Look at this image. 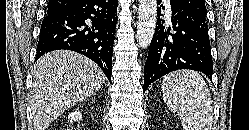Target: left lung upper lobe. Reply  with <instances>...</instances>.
Listing matches in <instances>:
<instances>
[{"label":"left lung upper lobe","mask_w":249,"mask_h":130,"mask_svg":"<svg viewBox=\"0 0 249 130\" xmlns=\"http://www.w3.org/2000/svg\"><path fill=\"white\" fill-rule=\"evenodd\" d=\"M188 10L206 17V7L204 0H176Z\"/></svg>","instance_id":"5c2ea615"}]
</instances>
